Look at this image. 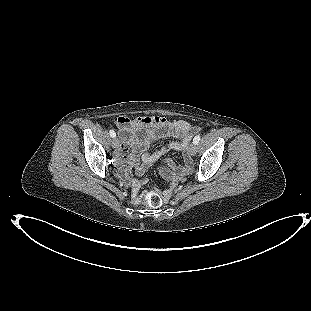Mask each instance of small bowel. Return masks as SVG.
I'll use <instances>...</instances> for the list:
<instances>
[{"instance_id": "obj_1", "label": "small bowel", "mask_w": 311, "mask_h": 311, "mask_svg": "<svg viewBox=\"0 0 311 311\" xmlns=\"http://www.w3.org/2000/svg\"><path fill=\"white\" fill-rule=\"evenodd\" d=\"M117 128L122 133V145L118 152V166L122 176L131 187L132 200L138 202V193L144 184V180L131 178L124 167V163L130 162L135 174L142 177L146 170L155 162L170 152L185 151L189 138L194 133V128L186 121H170L162 117H137L130 119L119 116L115 119ZM175 138L154 152L148 149L151 143L158 139ZM170 169V177L176 181L190 167L187 155L184 157V165L178 166L171 159L165 161ZM169 190L164 192L168 198Z\"/></svg>"}]
</instances>
